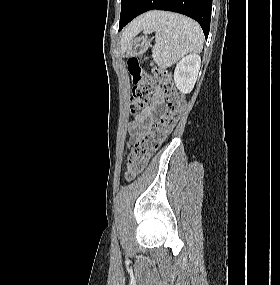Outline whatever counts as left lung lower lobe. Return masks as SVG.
<instances>
[{
    "label": "left lung lower lobe",
    "mask_w": 280,
    "mask_h": 285,
    "mask_svg": "<svg viewBox=\"0 0 280 285\" xmlns=\"http://www.w3.org/2000/svg\"><path fill=\"white\" fill-rule=\"evenodd\" d=\"M211 8L212 0H137L119 30L136 16L149 10L158 9L178 12L195 19L201 25L207 38L210 29Z\"/></svg>",
    "instance_id": "obj_1"
}]
</instances>
